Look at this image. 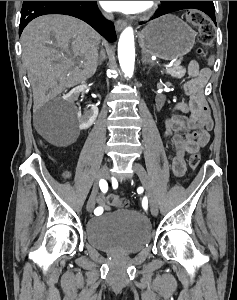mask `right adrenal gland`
<instances>
[{"label": "right adrenal gland", "mask_w": 237, "mask_h": 300, "mask_svg": "<svg viewBox=\"0 0 237 300\" xmlns=\"http://www.w3.org/2000/svg\"><path fill=\"white\" fill-rule=\"evenodd\" d=\"M105 59H106L105 51H104L103 47H101L98 65H102V61H105Z\"/></svg>", "instance_id": "obj_1"}]
</instances>
